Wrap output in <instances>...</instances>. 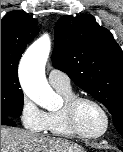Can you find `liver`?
Masks as SVG:
<instances>
[{
    "label": "liver",
    "mask_w": 123,
    "mask_h": 152,
    "mask_svg": "<svg viewBox=\"0 0 123 152\" xmlns=\"http://www.w3.org/2000/svg\"><path fill=\"white\" fill-rule=\"evenodd\" d=\"M1 152H85L68 140L1 126Z\"/></svg>",
    "instance_id": "liver-1"
}]
</instances>
